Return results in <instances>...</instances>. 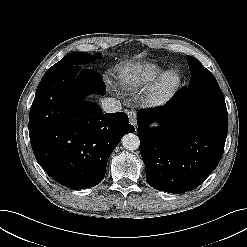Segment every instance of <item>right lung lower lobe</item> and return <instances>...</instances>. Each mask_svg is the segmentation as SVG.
I'll list each match as a JSON object with an SVG mask.
<instances>
[{"instance_id": "98d812e1", "label": "right lung lower lobe", "mask_w": 247, "mask_h": 247, "mask_svg": "<svg viewBox=\"0 0 247 247\" xmlns=\"http://www.w3.org/2000/svg\"><path fill=\"white\" fill-rule=\"evenodd\" d=\"M102 76L82 66L45 74L29 114L36 160L55 181L72 189L99 184L121 138L135 129L126 113L103 114L91 93L104 94Z\"/></svg>"}]
</instances>
